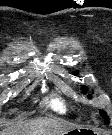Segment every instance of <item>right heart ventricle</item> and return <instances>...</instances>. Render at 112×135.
Segmentation results:
<instances>
[{
    "instance_id": "1",
    "label": "right heart ventricle",
    "mask_w": 112,
    "mask_h": 135,
    "mask_svg": "<svg viewBox=\"0 0 112 135\" xmlns=\"http://www.w3.org/2000/svg\"><path fill=\"white\" fill-rule=\"evenodd\" d=\"M46 105L51 111L61 116L74 117L77 113L74 107L57 95L49 96Z\"/></svg>"
}]
</instances>
